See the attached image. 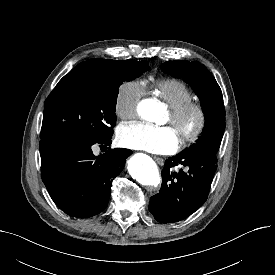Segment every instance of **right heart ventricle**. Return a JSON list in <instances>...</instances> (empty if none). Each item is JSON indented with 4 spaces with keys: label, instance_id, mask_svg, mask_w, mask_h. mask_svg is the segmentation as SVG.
I'll use <instances>...</instances> for the list:
<instances>
[{
    "label": "right heart ventricle",
    "instance_id": "1",
    "mask_svg": "<svg viewBox=\"0 0 275 275\" xmlns=\"http://www.w3.org/2000/svg\"><path fill=\"white\" fill-rule=\"evenodd\" d=\"M150 88L170 109L181 106L194 99V93L191 88L179 79H158L150 85Z\"/></svg>",
    "mask_w": 275,
    "mask_h": 275
}]
</instances>
